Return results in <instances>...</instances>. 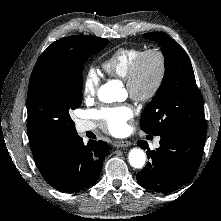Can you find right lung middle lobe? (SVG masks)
<instances>
[{
    "label": "right lung middle lobe",
    "instance_id": "dd1d6c3e",
    "mask_svg": "<svg viewBox=\"0 0 221 221\" xmlns=\"http://www.w3.org/2000/svg\"><path fill=\"white\" fill-rule=\"evenodd\" d=\"M107 44V39L81 35L74 52L40 66L29 84L28 118L52 131L75 130L69 111L82 102L84 64Z\"/></svg>",
    "mask_w": 221,
    "mask_h": 221
}]
</instances>
